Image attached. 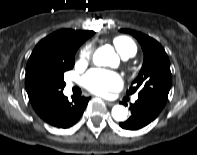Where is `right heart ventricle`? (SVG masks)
Instances as JSON below:
<instances>
[{
	"label": "right heart ventricle",
	"mask_w": 197,
	"mask_h": 155,
	"mask_svg": "<svg viewBox=\"0 0 197 155\" xmlns=\"http://www.w3.org/2000/svg\"><path fill=\"white\" fill-rule=\"evenodd\" d=\"M113 43L117 51L125 58L133 57L137 52L135 43L128 37H116Z\"/></svg>",
	"instance_id": "obj_1"
}]
</instances>
